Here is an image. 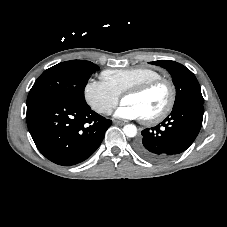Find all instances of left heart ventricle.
<instances>
[{"instance_id":"b2bd125f","label":"left heart ventricle","mask_w":227,"mask_h":227,"mask_svg":"<svg viewBox=\"0 0 227 227\" xmlns=\"http://www.w3.org/2000/svg\"><path fill=\"white\" fill-rule=\"evenodd\" d=\"M168 98V88L161 84L143 95L125 96L122 101L134 105L140 111L142 118H145L158 114L165 107Z\"/></svg>"}]
</instances>
